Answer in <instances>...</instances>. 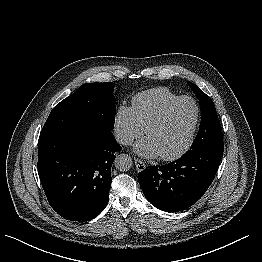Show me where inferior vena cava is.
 Listing matches in <instances>:
<instances>
[{"label": "inferior vena cava", "mask_w": 262, "mask_h": 262, "mask_svg": "<svg viewBox=\"0 0 262 262\" xmlns=\"http://www.w3.org/2000/svg\"><path fill=\"white\" fill-rule=\"evenodd\" d=\"M115 137L116 140L122 145H129L133 142V139L124 133H117Z\"/></svg>", "instance_id": "1"}]
</instances>
